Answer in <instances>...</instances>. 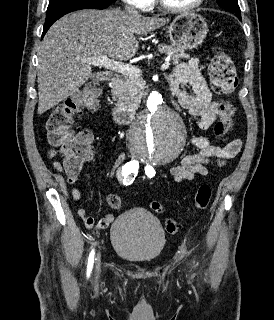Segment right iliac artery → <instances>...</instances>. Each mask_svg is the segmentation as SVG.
Returning a JSON list of instances; mask_svg holds the SVG:
<instances>
[{"label": "right iliac artery", "instance_id": "1", "mask_svg": "<svg viewBox=\"0 0 274 320\" xmlns=\"http://www.w3.org/2000/svg\"><path fill=\"white\" fill-rule=\"evenodd\" d=\"M138 167H139V164H138V161L136 160L130 161L123 166L122 176L124 177V184L129 185L134 181L136 174L138 172ZM94 256H95V251L94 249H92L88 258L87 277L90 276V273L92 271Z\"/></svg>", "mask_w": 274, "mask_h": 320}]
</instances>
